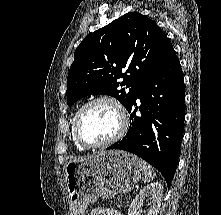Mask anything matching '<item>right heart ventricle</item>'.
Here are the masks:
<instances>
[{
    "instance_id": "1",
    "label": "right heart ventricle",
    "mask_w": 221,
    "mask_h": 215,
    "mask_svg": "<svg viewBox=\"0 0 221 215\" xmlns=\"http://www.w3.org/2000/svg\"><path fill=\"white\" fill-rule=\"evenodd\" d=\"M75 116V115H74ZM74 116L72 118V124H71V138H72V141L76 147L77 150L79 151H84L86 148L82 147L81 145H79L74 137V133H73V121H74Z\"/></svg>"
}]
</instances>
